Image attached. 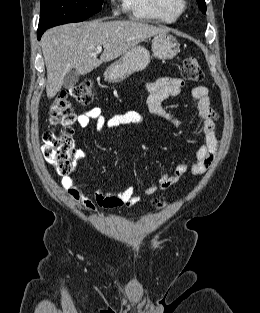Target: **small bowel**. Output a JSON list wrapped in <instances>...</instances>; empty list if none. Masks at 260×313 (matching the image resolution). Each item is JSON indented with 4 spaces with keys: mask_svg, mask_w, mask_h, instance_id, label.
Instances as JSON below:
<instances>
[{
    "mask_svg": "<svg viewBox=\"0 0 260 313\" xmlns=\"http://www.w3.org/2000/svg\"><path fill=\"white\" fill-rule=\"evenodd\" d=\"M184 81L178 77H159L147 85L148 98L147 105L150 113L161 120L178 126L180 120L173 117L164 107L163 102L181 94ZM192 96L197 101L199 118L204 132V140L196 153V160L191 164H178L170 174L160 175L158 182L147 187L142 195L135 193L133 187H128L123 191L107 193L95 191L91 198L82 187L74 180L73 176L66 175L61 179V185L68 193L74 203L81 209L90 213H96L98 208H119L122 206L132 207L141 202L143 197H151L159 191H165L176 184L184 175L199 177L204 175L212 166L219 148V139L216 130L217 115L210 107L208 89L205 86H196L192 90ZM92 121H95L97 130L114 128L124 125H134L144 127L146 119L134 111L114 114L106 117L98 107L87 109L78 115L77 124L81 128H86ZM83 152H77V159L83 157Z\"/></svg>",
    "mask_w": 260,
    "mask_h": 313,
    "instance_id": "small-bowel-1",
    "label": "small bowel"
}]
</instances>
